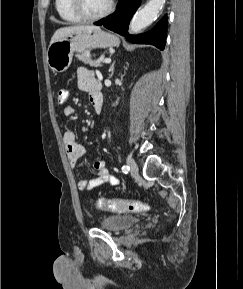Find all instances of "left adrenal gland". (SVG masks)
Listing matches in <instances>:
<instances>
[{"instance_id": "left-adrenal-gland-1", "label": "left adrenal gland", "mask_w": 243, "mask_h": 289, "mask_svg": "<svg viewBox=\"0 0 243 289\" xmlns=\"http://www.w3.org/2000/svg\"><path fill=\"white\" fill-rule=\"evenodd\" d=\"M114 64H115V61L110 66V69H109L110 75H109V77H112L113 74H114Z\"/></svg>"}]
</instances>
